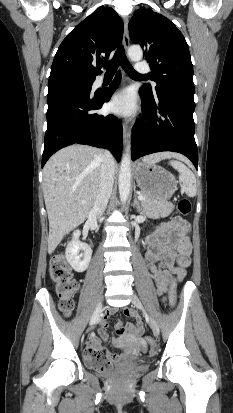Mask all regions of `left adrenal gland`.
Returning a JSON list of instances; mask_svg holds the SVG:
<instances>
[{"instance_id": "a2214340", "label": "left adrenal gland", "mask_w": 233, "mask_h": 413, "mask_svg": "<svg viewBox=\"0 0 233 413\" xmlns=\"http://www.w3.org/2000/svg\"><path fill=\"white\" fill-rule=\"evenodd\" d=\"M133 207L136 208V210H137L138 212H141V211H142V206H141L140 201H139L138 198H137L136 192H134Z\"/></svg>"}]
</instances>
